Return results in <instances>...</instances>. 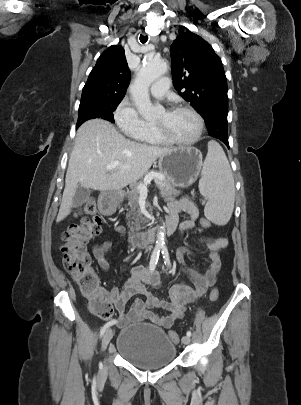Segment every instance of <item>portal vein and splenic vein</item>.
<instances>
[{
  "label": "portal vein and splenic vein",
  "instance_id": "portal-vein-and-splenic-vein-1",
  "mask_svg": "<svg viewBox=\"0 0 301 405\" xmlns=\"http://www.w3.org/2000/svg\"><path fill=\"white\" fill-rule=\"evenodd\" d=\"M119 165H120V162L116 160V161L108 164L107 169L112 170V169L116 168ZM153 178L157 179V180H163L164 176L162 174H159V173H153L152 175L146 176L145 179H144V183L140 184L138 186V188H137L139 194H146L147 193V191H148L147 186H148V184H150V182H151V180Z\"/></svg>",
  "mask_w": 301,
  "mask_h": 405
}]
</instances>
